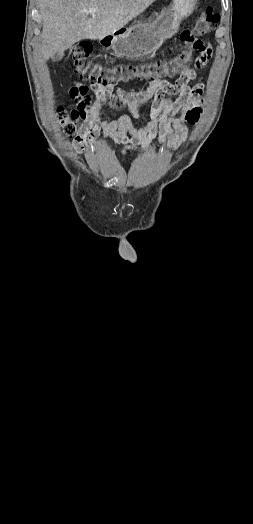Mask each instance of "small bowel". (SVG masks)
<instances>
[{"instance_id": "obj_1", "label": "small bowel", "mask_w": 253, "mask_h": 524, "mask_svg": "<svg viewBox=\"0 0 253 524\" xmlns=\"http://www.w3.org/2000/svg\"><path fill=\"white\" fill-rule=\"evenodd\" d=\"M184 44H192L190 49L194 51L193 58L195 67H202L207 63L215 46L212 43H201V37L195 35L184 26L180 32ZM206 51V52H204ZM192 69L181 72L175 84L172 78L167 77L161 81L162 76L150 83L147 89L140 92H128L122 88L110 90H92L96 98L91 102L90 110L84 123L74 139V147L78 152L93 149L95 143L102 134L108 137L113 144L124 146L122 154L128 157L131 150L141 151L149 147L151 139L158 137L162 146L171 150L179 148L188 136V123H191L187 114L201 101L202 87H189V82L194 78ZM80 93L77 89L70 91L72 98H88L89 87L81 85ZM83 90V92L81 91ZM166 94H178L175 100L165 97ZM152 100L149 118L143 119L140 114V106ZM109 104L114 108L127 107L136 119L142 122L140 127H135L128 116H122L116 120H109L103 110V105ZM128 134L130 137H128Z\"/></svg>"}]
</instances>
